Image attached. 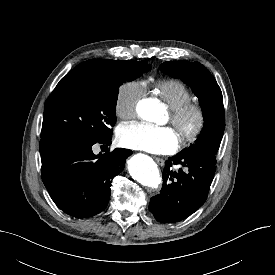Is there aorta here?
<instances>
[{"mask_svg":"<svg viewBox=\"0 0 275 275\" xmlns=\"http://www.w3.org/2000/svg\"><path fill=\"white\" fill-rule=\"evenodd\" d=\"M138 113L145 120L157 121L162 115V110L156 100L145 99L139 103ZM129 172L144 186L157 188L161 183L157 164L149 157L143 155L132 157L129 163Z\"/></svg>","mask_w":275,"mask_h":275,"instance_id":"1","label":"aorta"}]
</instances>
